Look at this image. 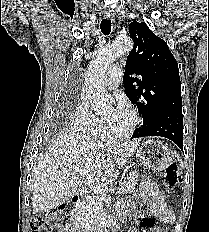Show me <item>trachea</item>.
Masks as SVG:
<instances>
[{
    "label": "trachea",
    "mask_w": 209,
    "mask_h": 232,
    "mask_svg": "<svg viewBox=\"0 0 209 232\" xmlns=\"http://www.w3.org/2000/svg\"><path fill=\"white\" fill-rule=\"evenodd\" d=\"M111 20L110 19H103L101 21V24H100V29H101V32L104 34V35H109L110 32H111Z\"/></svg>",
    "instance_id": "3493384b"
}]
</instances>
